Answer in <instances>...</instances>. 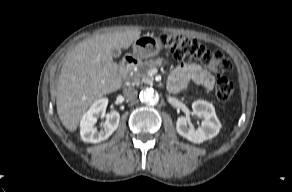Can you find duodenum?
Segmentation results:
<instances>
[{"mask_svg":"<svg viewBox=\"0 0 292 192\" xmlns=\"http://www.w3.org/2000/svg\"><path fill=\"white\" fill-rule=\"evenodd\" d=\"M136 64H137L136 58L132 56L126 57L119 65V73L122 76H125Z\"/></svg>","mask_w":292,"mask_h":192,"instance_id":"1","label":"duodenum"}]
</instances>
